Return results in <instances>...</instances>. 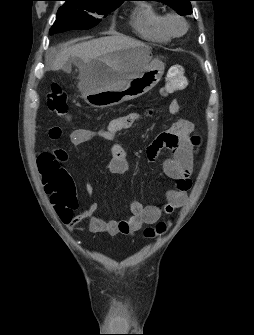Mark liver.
Masks as SVG:
<instances>
[{
    "label": "liver",
    "mask_w": 254,
    "mask_h": 335,
    "mask_svg": "<svg viewBox=\"0 0 254 335\" xmlns=\"http://www.w3.org/2000/svg\"><path fill=\"white\" fill-rule=\"evenodd\" d=\"M141 45H143L141 42L122 35L93 39L61 49L52 61L51 69L53 71L63 69L64 67L70 69L68 62L73 60L79 68V79L81 81L82 77L86 75L89 65L93 60L97 58L106 59L110 57V54L116 51ZM67 64L68 67H66ZM130 76L131 75L127 73L116 74L112 77L108 85L119 86Z\"/></svg>",
    "instance_id": "6515ba94"
}]
</instances>
